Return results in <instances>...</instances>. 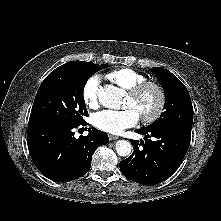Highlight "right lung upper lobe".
Listing matches in <instances>:
<instances>
[{"instance_id":"cb5924a9","label":"right lung upper lobe","mask_w":221,"mask_h":221,"mask_svg":"<svg viewBox=\"0 0 221 221\" xmlns=\"http://www.w3.org/2000/svg\"><path fill=\"white\" fill-rule=\"evenodd\" d=\"M81 62L82 61H69L66 64L61 65V67H64V66H74V65L80 64Z\"/></svg>"}]
</instances>
